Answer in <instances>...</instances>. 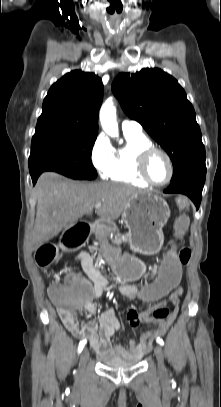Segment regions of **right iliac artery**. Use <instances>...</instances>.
<instances>
[{
  "label": "right iliac artery",
  "instance_id": "1",
  "mask_svg": "<svg viewBox=\"0 0 221 407\" xmlns=\"http://www.w3.org/2000/svg\"><path fill=\"white\" fill-rule=\"evenodd\" d=\"M86 343H87L86 339L82 340V341L79 343V346H78V352H79V353L82 351V349L84 348V346H85Z\"/></svg>",
  "mask_w": 221,
  "mask_h": 407
}]
</instances>
